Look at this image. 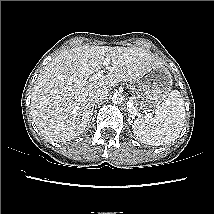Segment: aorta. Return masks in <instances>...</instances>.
I'll return each mask as SVG.
<instances>
[{"mask_svg":"<svg viewBox=\"0 0 214 214\" xmlns=\"http://www.w3.org/2000/svg\"><path fill=\"white\" fill-rule=\"evenodd\" d=\"M122 101H123V96H122V94H120V93H115V94L112 96V102H113L114 104H120V103H122Z\"/></svg>","mask_w":214,"mask_h":214,"instance_id":"1","label":"aorta"}]
</instances>
